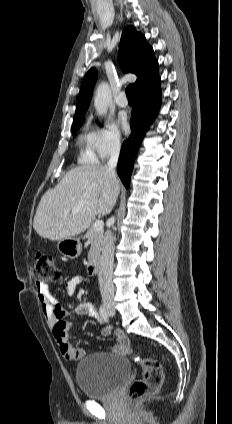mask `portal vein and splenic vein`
<instances>
[{"label": "portal vein and splenic vein", "mask_w": 232, "mask_h": 424, "mask_svg": "<svg viewBox=\"0 0 232 424\" xmlns=\"http://www.w3.org/2000/svg\"><path fill=\"white\" fill-rule=\"evenodd\" d=\"M104 222L102 220H97L94 222L93 227L96 230H103Z\"/></svg>", "instance_id": "1"}]
</instances>
